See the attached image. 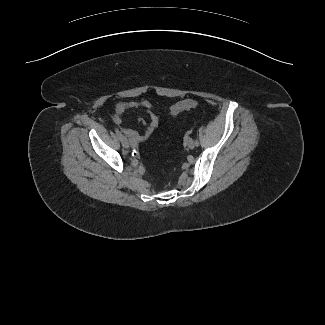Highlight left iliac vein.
Returning a JSON list of instances; mask_svg holds the SVG:
<instances>
[{"instance_id": "4c4485c4", "label": "left iliac vein", "mask_w": 325, "mask_h": 325, "mask_svg": "<svg viewBox=\"0 0 325 325\" xmlns=\"http://www.w3.org/2000/svg\"><path fill=\"white\" fill-rule=\"evenodd\" d=\"M187 145H188V147H189L190 149H193V148L195 147V142H194V140H193L192 138H189V139L187 140Z\"/></svg>"}]
</instances>
